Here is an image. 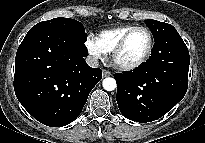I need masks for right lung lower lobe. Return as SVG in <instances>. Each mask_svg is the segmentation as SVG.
Segmentation results:
<instances>
[{"label": "right lung lower lobe", "instance_id": "98d812e1", "mask_svg": "<svg viewBox=\"0 0 205 143\" xmlns=\"http://www.w3.org/2000/svg\"><path fill=\"white\" fill-rule=\"evenodd\" d=\"M85 42L53 27H32L15 58L14 90L39 122L61 127L81 113L90 91L102 79L91 68Z\"/></svg>", "mask_w": 205, "mask_h": 143}]
</instances>
